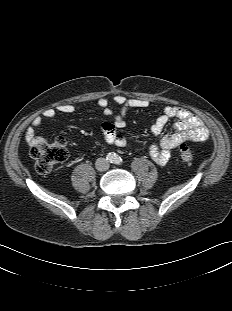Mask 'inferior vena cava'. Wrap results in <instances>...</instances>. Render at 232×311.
Segmentation results:
<instances>
[{
	"label": "inferior vena cava",
	"instance_id": "obj_1",
	"mask_svg": "<svg viewBox=\"0 0 232 311\" xmlns=\"http://www.w3.org/2000/svg\"><path fill=\"white\" fill-rule=\"evenodd\" d=\"M95 167L98 171H106L109 169V162L105 158H98L95 162Z\"/></svg>",
	"mask_w": 232,
	"mask_h": 311
}]
</instances>
